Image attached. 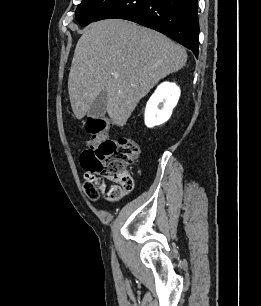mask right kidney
<instances>
[{
  "label": "right kidney",
  "mask_w": 261,
  "mask_h": 306,
  "mask_svg": "<svg viewBox=\"0 0 261 306\" xmlns=\"http://www.w3.org/2000/svg\"><path fill=\"white\" fill-rule=\"evenodd\" d=\"M180 88L175 83L160 84L146 104L145 124L154 127L166 122L180 97Z\"/></svg>",
  "instance_id": "obj_1"
}]
</instances>
